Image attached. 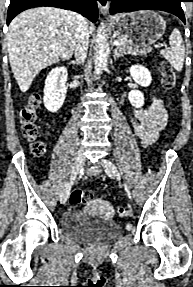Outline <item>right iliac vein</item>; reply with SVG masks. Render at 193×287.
<instances>
[{"label":"right iliac vein","instance_id":"right-iliac-vein-1","mask_svg":"<svg viewBox=\"0 0 193 287\" xmlns=\"http://www.w3.org/2000/svg\"><path fill=\"white\" fill-rule=\"evenodd\" d=\"M85 161V156H84V152L83 150H79L74 158V163H73V170L71 173V177L69 179V181L67 182L64 190L62 191L61 197H60V201L62 204H64L66 202V200L68 199L69 193H70V189L73 185V182L77 176V174L79 173V171L81 170L83 164Z\"/></svg>","mask_w":193,"mask_h":287}]
</instances>
